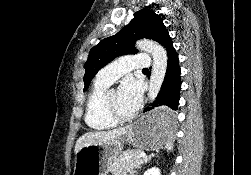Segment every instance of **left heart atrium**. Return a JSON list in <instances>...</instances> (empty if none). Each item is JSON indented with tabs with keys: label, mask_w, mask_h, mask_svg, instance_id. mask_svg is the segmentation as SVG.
Returning a JSON list of instances; mask_svg holds the SVG:
<instances>
[{
	"label": "left heart atrium",
	"mask_w": 251,
	"mask_h": 175,
	"mask_svg": "<svg viewBox=\"0 0 251 175\" xmlns=\"http://www.w3.org/2000/svg\"><path fill=\"white\" fill-rule=\"evenodd\" d=\"M119 101L127 113H135L142 101L141 82L133 77L125 78L119 87Z\"/></svg>",
	"instance_id": "39dd6f15"
}]
</instances>
